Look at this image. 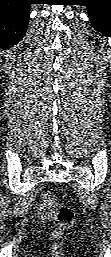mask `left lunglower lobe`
<instances>
[{
  "mask_svg": "<svg viewBox=\"0 0 111 257\" xmlns=\"http://www.w3.org/2000/svg\"><path fill=\"white\" fill-rule=\"evenodd\" d=\"M88 7V16L95 30L111 36V0H92Z\"/></svg>",
  "mask_w": 111,
  "mask_h": 257,
  "instance_id": "0a47b994",
  "label": "left lung lower lobe"
}]
</instances>
